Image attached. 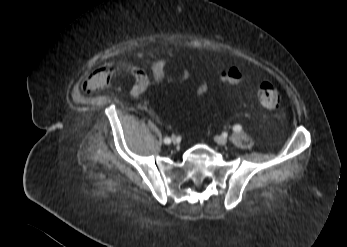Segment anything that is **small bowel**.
Returning a JSON list of instances; mask_svg holds the SVG:
<instances>
[{
    "instance_id": "c3829d8e",
    "label": "small bowel",
    "mask_w": 347,
    "mask_h": 247,
    "mask_svg": "<svg viewBox=\"0 0 347 247\" xmlns=\"http://www.w3.org/2000/svg\"><path fill=\"white\" fill-rule=\"evenodd\" d=\"M120 69L119 65L110 64L93 72L83 83V87L87 91H96L102 88L103 84L112 76H114ZM123 70H128L132 76L134 83L130 89V94L133 97H140L148 88L151 83L146 72L133 64H126L122 67ZM189 77V71L183 69L177 76H167L165 73V59L158 57L152 64V82L155 84H174L183 82ZM86 86V88H85ZM208 92V83L203 81L200 83L195 91L197 98H201Z\"/></svg>"
}]
</instances>
